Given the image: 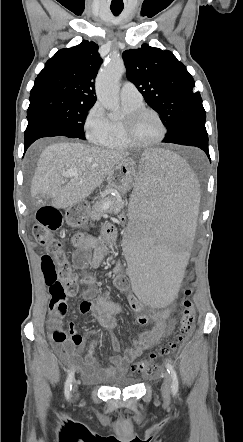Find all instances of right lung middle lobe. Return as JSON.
Wrapping results in <instances>:
<instances>
[{"mask_svg":"<svg viewBox=\"0 0 243 442\" xmlns=\"http://www.w3.org/2000/svg\"><path fill=\"white\" fill-rule=\"evenodd\" d=\"M92 106L64 95H39L30 97L27 118L43 117L53 120L70 130L76 138L85 139L84 122Z\"/></svg>","mask_w":243,"mask_h":442,"instance_id":"dd1d6c3e","label":"right lung middle lobe"}]
</instances>
